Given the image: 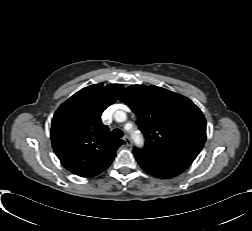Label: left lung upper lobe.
I'll return each mask as SVG.
<instances>
[{"label":"left lung upper lobe","instance_id":"obj_1","mask_svg":"<svg viewBox=\"0 0 252 231\" xmlns=\"http://www.w3.org/2000/svg\"><path fill=\"white\" fill-rule=\"evenodd\" d=\"M120 100L137 115L147 155H174L194 160L206 140V120L188 98L157 86L132 85Z\"/></svg>","mask_w":252,"mask_h":231}]
</instances>
